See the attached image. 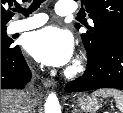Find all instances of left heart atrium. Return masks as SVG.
Segmentation results:
<instances>
[{"mask_svg":"<svg viewBox=\"0 0 123 113\" xmlns=\"http://www.w3.org/2000/svg\"><path fill=\"white\" fill-rule=\"evenodd\" d=\"M26 49L45 65L64 66L73 55L74 42L68 31L49 26L31 33L26 39Z\"/></svg>","mask_w":123,"mask_h":113,"instance_id":"obj_1","label":"left heart atrium"}]
</instances>
